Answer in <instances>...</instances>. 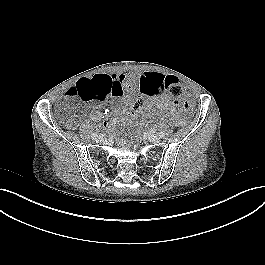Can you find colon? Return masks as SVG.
<instances>
[{"label": "colon", "mask_w": 265, "mask_h": 265, "mask_svg": "<svg viewBox=\"0 0 265 265\" xmlns=\"http://www.w3.org/2000/svg\"><path fill=\"white\" fill-rule=\"evenodd\" d=\"M162 89L177 99V103L184 113H190L192 111L194 100L190 95L183 92L182 86L175 76H165ZM110 94V84L106 79H81L66 91V97H79L85 101L105 99ZM140 108L141 98L139 97L137 102L131 107V115L135 114ZM66 124L68 127L73 128L77 125V120L74 117H66Z\"/></svg>", "instance_id": "obj_1"}]
</instances>
